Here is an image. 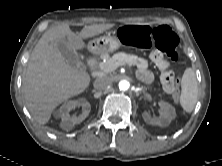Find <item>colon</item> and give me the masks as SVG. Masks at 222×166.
<instances>
[{"label": "colon", "mask_w": 222, "mask_h": 166, "mask_svg": "<svg viewBox=\"0 0 222 166\" xmlns=\"http://www.w3.org/2000/svg\"><path fill=\"white\" fill-rule=\"evenodd\" d=\"M122 43L138 48L155 46L160 52L165 53L173 61H180L178 51L179 38L168 25L150 27L146 25H128L118 31ZM162 83L165 89L173 93L175 101L179 100L180 90L178 80L172 70L165 69L162 74Z\"/></svg>", "instance_id": "1"}]
</instances>
